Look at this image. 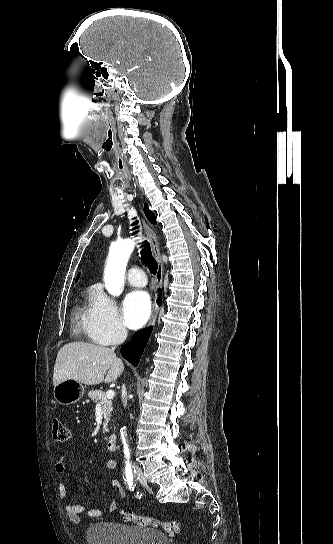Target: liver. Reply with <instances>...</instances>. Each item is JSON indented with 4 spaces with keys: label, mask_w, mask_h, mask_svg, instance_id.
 <instances>
[{
    "label": "liver",
    "mask_w": 333,
    "mask_h": 544,
    "mask_svg": "<svg viewBox=\"0 0 333 544\" xmlns=\"http://www.w3.org/2000/svg\"><path fill=\"white\" fill-rule=\"evenodd\" d=\"M124 364L114 350L87 342L65 344L57 354L53 385L74 379L86 385L115 381L123 372ZM106 375V376H105Z\"/></svg>",
    "instance_id": "obj_1"
}]
</instances>
